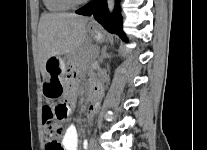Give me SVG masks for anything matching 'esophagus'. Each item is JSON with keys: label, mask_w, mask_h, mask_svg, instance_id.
<instances>
[{"label": "esophagus", "mask_w": 207, "mask_h": 150, "mask_svg": "<svg viewBox=\"0 0 207 150\" xmlns=\"http://www.w3.org/2000/svg\"><path fill=\"white\" fill-rule=\"evenodd\" d=\"M91 22H92V23H94V20H93V19H91Z\"/></svg>", "instance_id": "1"}]
</instances>
